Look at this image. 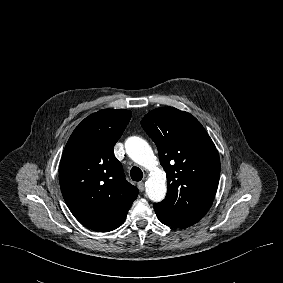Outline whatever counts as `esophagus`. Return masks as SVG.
<instances>
[{"label":"esophagus","mask_w":283,"mask_h":283,"mask_svg":"<svg viewBox=\"0 0 283 283\" xmlns=\"http://www.w3.org/2000/svg\"><path fill=\"white\" fill-rule=\"evenodd\" d=\"M138 189H139L140 192H143V191H144V189H145V184H144V182H139V183H138Z\"/></svg>","instance_id":"1"}]
</instances>
